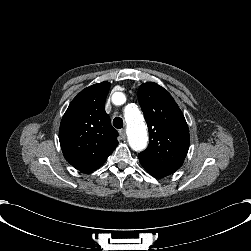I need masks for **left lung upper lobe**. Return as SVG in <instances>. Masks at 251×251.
Returning <instances> with one entry per match:
<instances>
[{
  "label": "left lung upper lobe",
  "mask_w": 251,
  "mask_h": 251,
  "mask_svg": "<svg viewBox=\"0 0 251 251\" xmlns=\"http://www.w3.org/2000/svg\"><path fill=\"white\" fill-rule=\"evenodd\" d=\"M138 99L149 130V145L138 154L140 160L175 172L189 149V129L172 96L153 82L142 84Z\"/></svg>",
  "instance_id": "5c2ea615"
}]
</instances>
